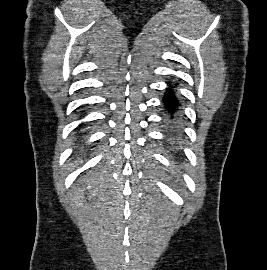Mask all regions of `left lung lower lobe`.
<instances>
[{
  "label": "left lung lower lobe",
  "instance_id": "1",
  "mask_svg": "<svg viewBox=\"0 0 267 270\" xmlns=\"http://www.w3.org/2000/svg\"><path fill=\"white\" fill-rule=\"evenodd\" d=\"M165 95L163 97V107L166 114L167 126L175 134L180 132V120H181V102L175 86L168 83Z\"/></svg>",
  "mask_w": 267,
  "mask_h": 270
}]
</instances>
